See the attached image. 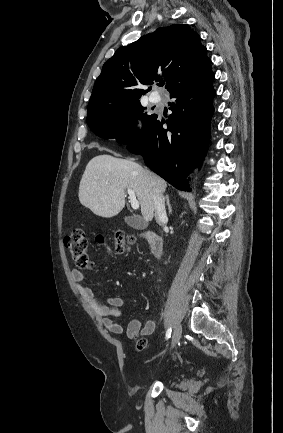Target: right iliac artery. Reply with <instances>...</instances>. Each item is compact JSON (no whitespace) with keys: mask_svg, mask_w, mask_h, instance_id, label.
Instances as JSON below:
<instances>
[{"mask_svg":"<svg viewBox=\"0 0 283 433\" xmlns=\"http://www.w3.org/2000/svg\"><path fill=\"white\" fill-rule=\"evenodd\" d=\"M171 332H172V329L168 328V330L166 332V339H169L171 337Z\"/></svg>","mask_w":283,"mask_h":433,"instance_id":"right-iliac-artery-1","label":"right iliac artery"}]
</instances>
